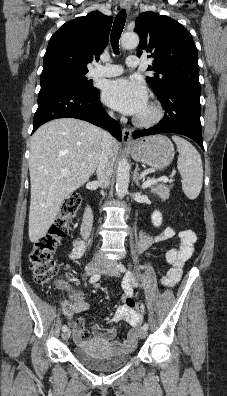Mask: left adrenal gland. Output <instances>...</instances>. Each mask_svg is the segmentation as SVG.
<instances>
[{
  "instance_id": "obj_1",
  "label": "left adrenal gland",
  "mask_w": 227,
  "mask_h": 396,
  "mask_svg": "<svg viewBox=\"0 0 227 396\" xmlns=\"http://www.w3.org/2000/svg\"><path fill=\"white\" fill-rule=\"evenodd\" d=\"M139 168H138V165H136V168H135V171H134V176H133V180H134V182H135V184L138 186V187H140V183H139Z\"/></svg>"
}]
</instances>
